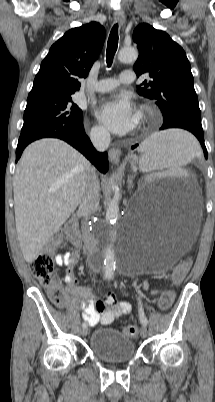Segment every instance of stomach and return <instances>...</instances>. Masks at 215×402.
<instances>
[{
    "label": "stomach",
    "instance_id": "obj_1",
    "mask_svg": "<svg viewBox=\"0 0 215 402\" xmlns=\"http://www.w3.org/2000/svg\"><path fill=\"white\" fill-rule=\"evenodd\" d=\"M131 164H132V166L135 165V160L134 159H131Z\"/></svg>",
    "mask_w": 215,
    "mask_h": 402
}]
</instances>
